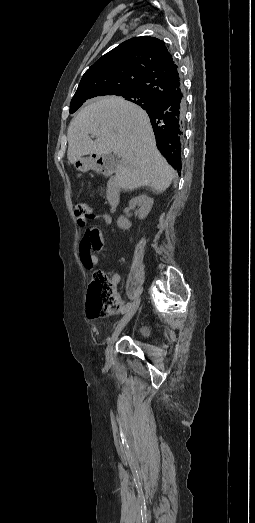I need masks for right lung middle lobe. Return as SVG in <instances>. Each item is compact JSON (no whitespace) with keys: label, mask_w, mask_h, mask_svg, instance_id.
<instances>
[{"label":"right lung middle lobe","mask_w":255,"mask_h":523,"mask_svg":"<svg viewBox=\"0 0 255 523\" xmlns=\"http://www.w3.org/2000/svg\"><path fill=\"white\" fill-rule=\"evenodd\" d=\"M117 96H122V97L126 98L128 101H131L134 103L139 102V101H145L148 99V95L145 92H141V91L124 92V93L118 94ZM80 106L81 105L70 106V113H74Z\"/></svg>","instance_id":"dd1d6c3e"}]
</instances>
